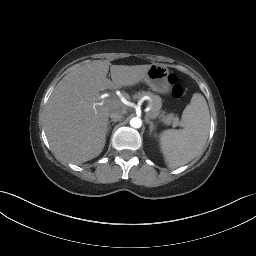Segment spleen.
I'll return each mask as SVG.
<instances>
[{
  "instance_id": "spleen-1",
  "label": "spleen",
  "mask_w": 256,
  "mask_h": 256,
  "mask_svg": "<svg viewBox=\"0 0 256 256\" xmlns=\"http://www.w3.org/2000/svg\"><path fill=\"white\" fill-rule=\"evenodd\" d=\"M183 129H168L161 133L160 148L169 168H177L194 159L205 146L210 113L203 95L194 93L182 114Z\"/></svg>"
}]
</instances>
